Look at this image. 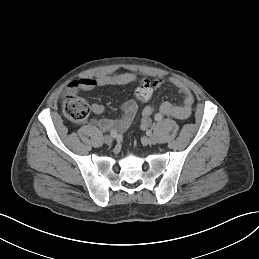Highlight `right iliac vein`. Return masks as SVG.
<instances>
[{"label": "right iliac vein", "mask_w": 259, "mask_h": 259, "mask_svg": "<svg viewBox=\"0 0 259 259\" xmlns=\"http://www.w3.org/2000/svg\"><path fill=\"white\" fill-rule=\"evenodd\" d=\"M103 140H104V143L111 144L113 141V138L110 135H106Z\"/></svg>", "instance_id": "right-iliac-vein-1"}]
</instances>
